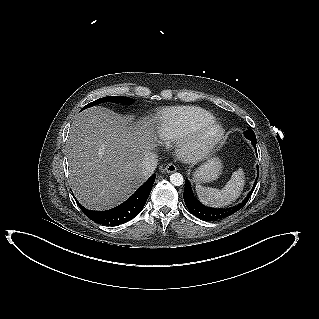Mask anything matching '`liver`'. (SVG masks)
<instances>
[{"label": "liver", "mask_w": 319, "mask_h": 319, "mask_svg": "<svg viewBox=\"0 0 319 319\" xmlns=\"http://www.w3.org/2000/svg\"><path fill=\"white\" fill-rule=\"evenodd\" d=\"M132 122L100 106L83 111L72 122L66 143L69 183L86 208H113L150 176L141 164L157 147L152 123Z\"/></svg>", "instance_id": "6515ba94"}]
</instances>
